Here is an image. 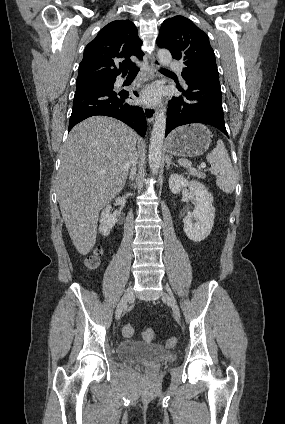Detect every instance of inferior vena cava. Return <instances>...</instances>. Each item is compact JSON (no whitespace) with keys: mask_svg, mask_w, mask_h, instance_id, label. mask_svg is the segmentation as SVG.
<instances>
[{"mask_svg":"<svg viewBox=\"0 0 285 424\" xmlns=\"http://www.w3.org/2000/svg\"><path fill=\"white\" fill-rule=\"evenodd\" d=\"M136 163H137V154L135 153L133 158L130 161V165H132V169L130 172V177L129 179L133 180L136 174Z\"/></svg>","mask_w":285,"mask_h":424,"instance_id":"inferior-vena-cava-1","label":"inferior vena cava"}]
</instances>
